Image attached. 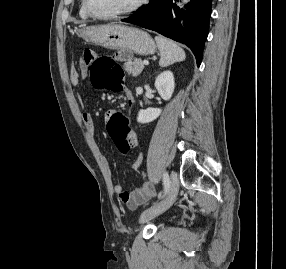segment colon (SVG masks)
Masks as SVG:
<instances>
[{"label": "colon", "mask_w": 286, "mask_h": 269, "mask_svg": "<svg viewBox=\"0 0 286 269\" xmlns=\"http://www.w3.org/2000/svg\"><path fill=\"white\" fill-rule=\"evenodd\" d=\"M115 57H96L91 49H86L84 58L88 63L91 82L94 86L111 89L118 92L122 88L123 70L115 62H130L133 49H117ZM128 111H115L111 121H108L109 134L118 151L126 155L131 149L127 126H131L132 117H127Z\"/></svg>", "instance_id": "colon-1"}]
</instances>
